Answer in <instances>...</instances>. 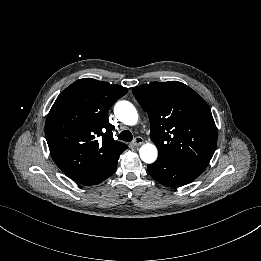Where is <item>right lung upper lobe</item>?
I'll list each match as a JSON object with an SVG mask.
<instances>
[{"label":"right lung upper lobe","instance_id":"right-lung-upper-lobe-1","mask_svg":"<svg viewBox=\"0 0 261 261\" xmlns=\"http://www.w3.org/2000/svg\"><path fill=\"white\" fill-rule=\"evenodd\" d=\"M127 92L119 85L85 78L66 88L52 106L46 139L54 162L74 181L100 176L126 150V144L113 138L108 111Z\"/></svg>","mask_w":261,"mask_h":261}]
</instances>
